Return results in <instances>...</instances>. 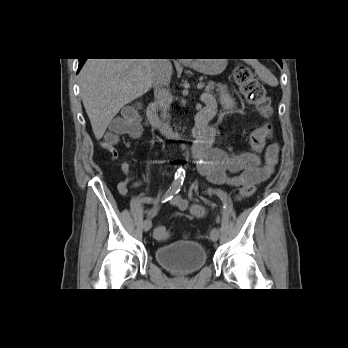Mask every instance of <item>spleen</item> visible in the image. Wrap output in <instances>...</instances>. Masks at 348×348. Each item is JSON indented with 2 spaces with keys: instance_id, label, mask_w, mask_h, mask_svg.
<instances>
[{
  "instance_id": "1",
  "label": "spleen",
  "mask_w": 348,
  "mask_h": 348,
  "mask_svg": "<svg viewBox=\"0 0 348 348\" xmlns=\"http://www.w3.org/2000/svg\"><path fill=\"white\" fill-rule=\"evenodd\" d=\"M247 64L255 70L258 77L268 85L275 87L278 85L276 77L256 59H246Z\"/></svg>"
}]
</instances>
